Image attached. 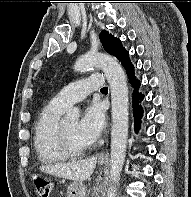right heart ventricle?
<instances>
[{"mask_svg": "<svg viewBox=\"0 0 191 197\" xmlns=\"http://www.w3.org/2000/svg\"><path fill=\"white\" fill-rule=\"evenodd\" d=\"M64 108L52 101L40 112L34 127V149L38 160L43 164H57L66 161L58 139V128Z\"/></svg>", "mask_w": 191, "mask_h": 197, "instance_id": "e07e8e85", "label": "right heart ventricle"}]
</instances>
